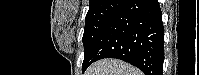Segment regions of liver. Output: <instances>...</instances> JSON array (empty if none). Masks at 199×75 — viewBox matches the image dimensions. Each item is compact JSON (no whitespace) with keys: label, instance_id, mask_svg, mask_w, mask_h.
<instances>
[{"label":"liver","instance_id":"6515ba94","mask_svg":"<svg viewBox=\"0 0 199 75\" xmlns=\"http://www.w3.org/2000/svg\"><path fill=\"white\" fill-rule=\"evenodd\" d=\"M85 75H143L130 64L116 59H103L93 63Z\"/></svg>","mask_w":199,"mask_h":75}]
</instances>
